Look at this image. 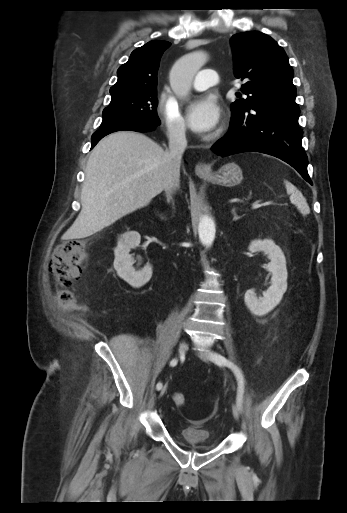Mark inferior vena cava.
<instances>
[{"label": "inferior vena cava", "instance_id": "1", "mask_svg": "<svg viewBox=\"0 0 347 513\" xmlns=\"http://www.w3.org/2000/svg\"><path fill=\"white\" fill-rule=\"evenodd\" d=\"M169 150L167 152L169 168L174 175H180V165L183 153L187 147V140L184 127H176L169 131ZM168 200L171 198L174 187L172 184L164 188Z\"/></svg>", "mask_w": 347, "mask_h": 513}]
</instances>
